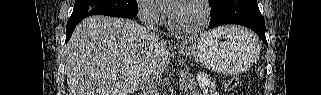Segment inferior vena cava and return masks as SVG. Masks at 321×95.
<instances>
[{"label": "inferior vena cava", "instance_id": "obj_1", "mask_svg": "<svg viewBox=\"0 0 321 95\" xmlns=\"http://www.w3.org/2000/svg\"><path fill=\"white\" fill-rule=\"evenodd\" d=\"M144 15L146 16L145 25L146 29L152 32L157 38L162 39V37L157 33L155 14L149 7L145 8ZM140 95H159L154 78L150 75L145 74L139 83Z\"/></svg>", "mask_w": 321, "mask_h": 95}]
</instances>
